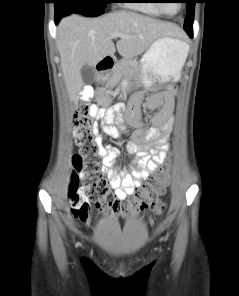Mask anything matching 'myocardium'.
I'll use <instances>...</instances> for the list:
<instances>
[{"instance_id": "obj_1", "label": "myocardium", "mask_w": 239, "mask_h": 296, "mask_svg": "<svg viewBox=\"0 0 239 296\" xmlns=\"http://www.w3.org/2000/svg\"><path fill=\"white\" fill-rule=\"evenodd\" d=\"M156 2V6L158 7V9L163 13V14H166V15H173V13H169L163 6L162 3H160V0H154ZM180 6H181V3H179V9H180ZM178 9V10H179Z\"/></svg>"}]
</instances>
